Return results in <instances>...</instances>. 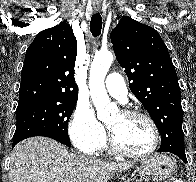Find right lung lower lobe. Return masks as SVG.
<instances>
[{
	"mask_svg": "<svg viewBox=\"0 0 196 182\" xmlns=\"http://www.w3.org/2000/svg\"><path fill=\"white\" fill-rule=\"evenodd\" d=\"M33 136H45V137H49V138L55 139V140L59 141L60 143L66 145V143H65L60 137H58V136H56V135H53V134H36V135H33ZM30 137H32V136H30ZM26 138H28V137H26ZM26 138H22V139H19V140L13 142L12 148H13L18 142H20V141H22L23 139H26Z\"/></svg>",
	"mask_w": 196,
	"mask_h": 182,
	"instance_id": "obj_1",
	"label": "right lung lower lobe"
}]
</instances>
